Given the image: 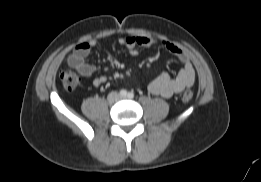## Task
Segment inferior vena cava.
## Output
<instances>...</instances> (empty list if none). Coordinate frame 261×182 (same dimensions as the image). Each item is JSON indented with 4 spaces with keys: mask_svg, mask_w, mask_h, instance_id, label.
<instances>
[{
    "mask_svg": "<svg viewBox=\"0 0 261 182\" xmlns=\"http://www.w3.org/2000/svg\"><path fill=\"white\" fill-rule=\"evenodd\" d=\"M109 97H119V94L117 92H112L109 94Z\"/></svg>",
    "mask_w": 261,
    "mask_h": 182,
    "instance_id": "602c4592",
    "label": "inferior vena cava"
}]
</instances>
